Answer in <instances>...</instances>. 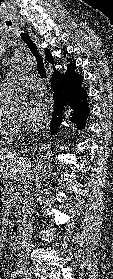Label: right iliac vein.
<instances>
[{"label": "right iliac vein", "instance_id": "1", "mask_svg": "<svg viewBox=\"0 0 113 279\" xmlns=\"http://www.w3.org/2000/svg\"><path fill=\"white\" fill-rule=\"evenodd\" d=\"M21 270H22L23 272H26V273L29 272V268L26 267V266L21 267Z\"/></svg>", "mask_w": 113, "mask_h": 279}]
</instances>
